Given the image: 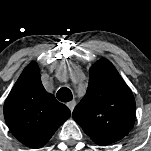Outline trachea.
Returning <instances> with one entry per match:
<instances>
[{"instance_id":"trachea-1","label":"trachea","mask_w":151,"mask_h":151,"mask_svg":"<svg viewBox=\"0 0 151 151\" xmlns=\"http://www.w3.org/2000/svg\"><path fill=\"white\" fill-rule=\"evenodd\" d=\"M56 97L61 102H69L72 100L73 95L70 89L62 87L58 90Z\"/></svg>"}]
</instances>
